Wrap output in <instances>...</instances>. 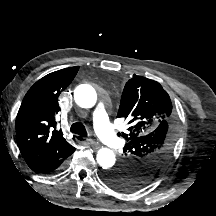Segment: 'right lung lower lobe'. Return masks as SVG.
Here are the masks:
<instances>
[{"label":"right lung lower lobe","instance_id":"right-lung-lower-lobe-1","mask_svg":"<svg viewBox=\"0 0 216 216\" xmlns=\"http://www.w3.org/2000/svg\"><path fill=\"white\" fill-rule=\"evenodd\" d=\"M65 159H62V160L52 164L51 166L43 169L42 171H40L38 173L46 174V173H51V172L55 171L57 168H59L61 166V164L64 162Z\"/></svg>","mask_w":216,"mask_h":216}]
</instances>
